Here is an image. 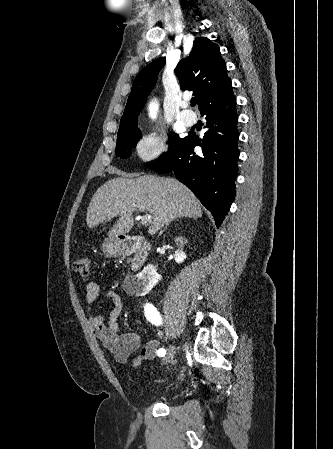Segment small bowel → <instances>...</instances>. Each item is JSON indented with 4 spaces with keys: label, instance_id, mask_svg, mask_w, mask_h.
<instances>
[{
    "label": "small bowel",
    "instance_id": "1",
    "mask_svg": "<svg viewBox=\"0 0 333 449\" xmlns=\"http://www.w3.org/2000/svg\"><path fill=\"white\" fill-rule=\"evenodd\" d=\"M100 288L98 284L90 282L86 286L85 311L88 325L94 336L111 354L115 363L123 365L128 357L141 347V338L137 333H120L118 323L123 303L120 295L113 290L105 292L107 299L111 301V308L105 318L93 311V305L98 299ZM158 348L156 340H150L140 348V352L131 360L132 369L139 368L142 363L154 356Z\"/></svg>",
    "mask_w": 333,
    "mask_h": 449
}]
</instances>
